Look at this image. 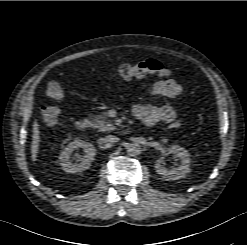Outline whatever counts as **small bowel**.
Listing matches in <instances>:
<instances>
[{
  "instance_id": "1",
  "label": "small bowel",
  "mask_w": 247,
  "mask_h": 245,
  "mask_svg": "<svg viewBox=\"0 0 247 245\" xmlns=\"http://www.w3.org/2000/svg\"><path fill=\"white\" fill-rule=\"evenodd\" d=\"M183 92L182 86L174 80H159L153 84L152 94L154 97H164L171 101L176 100ZM133 115L148 126L159 122L170 123L176 119L177 113L173 104L162 105H135Z\"/></svg>"
}]
</instances>
